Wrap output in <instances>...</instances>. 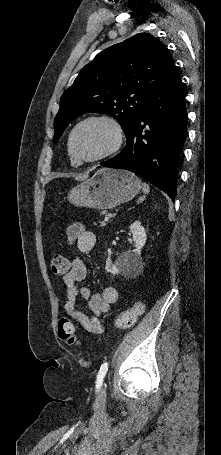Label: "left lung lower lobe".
Returning <instances> with one entry per match:
<instances>
[{
  "mask_svg": "<svg viewBox=\"0 0 221 455\" xmlns=\"http://www.w3.org/2000/svg\"><path fill=\"white\" fill-rule=\"evenodd\" d=\"M186 135L183 83L174 66L139 112L127 136L126 147L101 165L132 171L174 200L177 168Z\"/></svg>",
  "mask_w": 221,
  "mask_h": 455,
  "instance_id": "1",
  "label": "left lung lower lobe"
}]
</instances>
